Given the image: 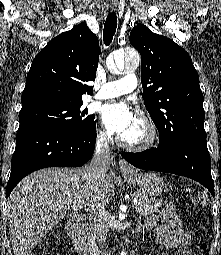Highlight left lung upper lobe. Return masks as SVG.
<instances>
[{"mask_svg": "<svg viewBox=\"0 0 221 255\" xmlns=\"http://www.w3.org/2000/svg\"><path fill=\"white\" fill-rule=\"evenodd\" d=\"M130 43L141 54L142 97L159 143L172 146L189 137L206 138L203 93L189 54L142 24L132 29Z\"/></svg>", "mask_w": 221, "mask_h": 255, "instance_id": "left-lung-upper-lobe-1", "label": "left lung upper lobe"}]
</instances>
